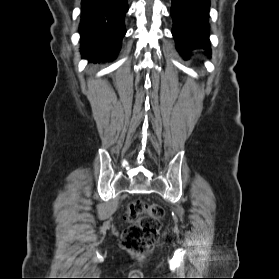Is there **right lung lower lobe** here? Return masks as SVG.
Masks as SVG:
<instances>
[{
    "label": "right lung lower lobe",
    "mask_w": 279,
    "mask_h": 279,
    "mask_svg": "<svg viewBox=\"0 0 279 279\" xmlns=\"http://www.w3.org/2000/svg\"><path fill=\"white\" fill-rule=\"evenodd\" d=\"M127 0H82L80 33L83 58L112 59L126 30Z\"/></svg>",
    "instance_id": "98d812e1"
}]
</instances>
